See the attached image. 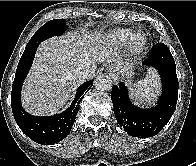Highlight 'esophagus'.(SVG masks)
I'll return each mask as SVG.
<instances>
[{
	"instance_id": "34e87169",
	"label": "esophagus",
	"mask_w": 196,
	"mask_h": 166,
	"mask_svg": "<svg viewBox=\"0 0 196 166\" xmlns=\"http://www.w3.org/2000/svg\"><path fill=\"white\" fill-rule=\"evenodd\" d=\"M107 70L110 72V75H112V77H113L115 80H117V79H118V76H117V75H115V74H113V72H112V70H111V68H110V67H109Z\"/></svg>"
}]
</instances>
